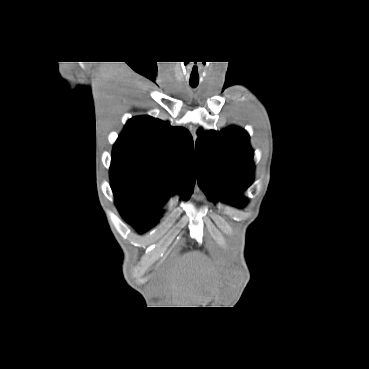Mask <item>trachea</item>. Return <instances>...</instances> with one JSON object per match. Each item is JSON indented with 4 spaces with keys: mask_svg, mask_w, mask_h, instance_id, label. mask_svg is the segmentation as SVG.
I'll return each instance as SVG.
<instances>
[{
    "mask_svg": "<svg viewBox=\"0 0 369 369\" xmlns=\"http://www.w3.org/2000/svg\"><path fill=\"white\" fill-rule=\"evenodd\" d=\"M190 85H191V87H193V88H195V87H197L198 86V83H190Z\"/></svg>",
    "mask_w": 369,
    "mask_h": 369,
    "instance_id": "trachea-1",
    "label": "trachea"
}]
</instances>
